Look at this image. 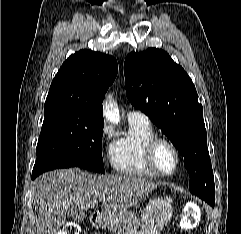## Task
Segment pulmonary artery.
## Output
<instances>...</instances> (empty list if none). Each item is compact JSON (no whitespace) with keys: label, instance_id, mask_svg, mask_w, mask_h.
<instances>
[{"label":"pulmonary artery","instance_id":"e3ab8cb5","mask_svg":"<svg viewBox=\"0 0 241 234\" xmlns=\"http://www.w3.org/2000/svg\"><path fill=\"white\" fill-rule=\"evenodd\" d=\"M128 121H141V122H149V118L146 114L138 110H130L127 113Z\"/></svg>","mask_w":241,"mask_h":234}]
</instances>
